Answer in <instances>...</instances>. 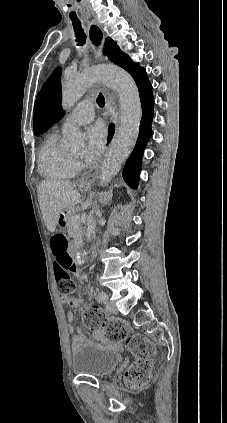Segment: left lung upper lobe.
Masks as SVG:
<instances>
[{
    "label": "left lung upper lobe",
    "instance_id": "obj_1",
    "mask_svg": "<svg viewBox=\"0 0 227 423\" xmlns=\"http://www.w3.org/2000/svg\"><path fill=\"white\" fill-rule=\"evenodd\" d=\"M104 52L113 63L129 72L135 82H138L146 74L145 69L140 67L139 64H134L130 57L123 53L110 38L105 41ZM59 74L60 69L56 71V75L52 79H49L43 85L42 90L37 95L33 118L35 135H40L47 131L63 117L64 111L61 109L62 96Z\"/></svg>",
    "mask_w": 227,
    "mask_h": 423
}]
</instances>
